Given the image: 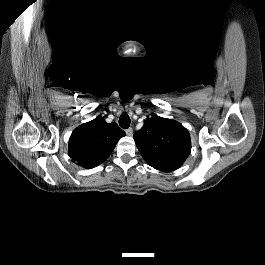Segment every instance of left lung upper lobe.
<instances>
[{"label": "left lung upper lobe", "instance_id": "left-lung-upper-lobe-1", "mask_svg": "<svg viewBox=\"0 0 265 265\" xmlns=\"http://www.w3.org/2000/svg\"><path fill=\"white\" fill-rule=\"evenodd\" d=\"M134 140L145 161L161 171L181 166L191 150L188 130L177 121L159 116L145 120Z\"/></svg>", "mask_w": 265, "mask_h": 265}]
</instances>
